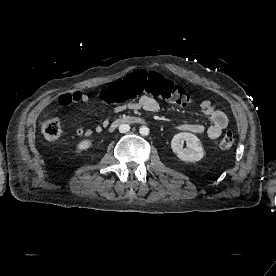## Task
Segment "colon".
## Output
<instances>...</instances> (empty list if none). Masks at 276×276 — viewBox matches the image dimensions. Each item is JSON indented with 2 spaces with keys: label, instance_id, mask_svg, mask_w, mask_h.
<instances>
[{
  "label": "colon",
  "instance_id": "obj_1",
  "mask_svg": "<svg viewBox=\"0 0 276 276\" xmlns=\"http://www.w3.org/2000/svg\"><path fill=\"white\" fill-rule=\"evenodd\" d=\"M140 96L158 97L181 107L189 106L195 101V97L181 86L158 73L146 71H137L100 93V97L109 103H123ZM41 131L46 141L53 142L63 135L64 126L58 117L48 114L42 118ZM234 141L232 132L227 131L221 137L219 147L223 151H229L233 148Z\"/></svg>",
  "mask_w": 276,
  "mask_h": 276
}]
</instances>
